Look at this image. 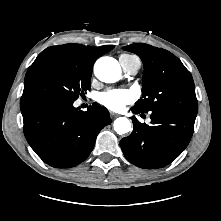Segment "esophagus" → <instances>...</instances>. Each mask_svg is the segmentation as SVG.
Masks as SVG:
<instances>
[{"instance_id":"34e87169","label":"esophagus","mask_w":221,"mask_h":221,"mask_svg":"<svg viewBox=\"0 0 221 221\" xmlns=\"http://www.w3.org/2000/svg\"><path fill=\"white\" fill-rule=\"evenodd\" d=\"M110 116H111V118H116L119 115L117 113H115V112H110Z\"/></svg>"}]
</instances>
